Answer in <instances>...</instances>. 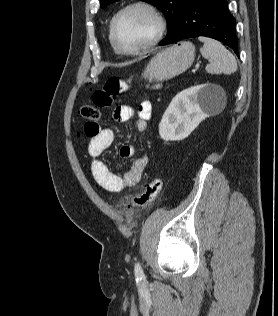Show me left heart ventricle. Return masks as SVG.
I'll return each mask as SVG.
<instances>
[{
	"mask_svg": "<svg viewBox=\"0 0 278 316\" xmlns=\"http://www.w3.org/2000/svg\"><path fill=\"white\" fill-rule=\"evenodd\" d=\"M154 32V19L141 9L123 14L115 26L116 41L125 50H133L144 45L153 37Z\"/></svg>",
	"mask_w": 278,
	"mask_h": 316,
	"instance_id": "b2bd125f",
	"label": "left heart ventricle"
}]
</instances>
